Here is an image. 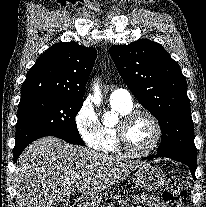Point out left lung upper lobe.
<instances>
[{"label":"left lung upper lobe","instance_id":"obj_1","mask_svg":"<svg viewBox=\"0 0 206 207\" xmlns=\"http://www.w3.org/2000/svg\"><path fill=\"white\" fill-rule=\"evenodd\" d=\"M118 72L137 100L159 121V156L197 157L186 78L162 45L139 40L109 49Z\"/></svg>","mask_w":206,"mask_h":207}]
</instances>
